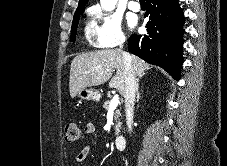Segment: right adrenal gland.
I'll return each instance as SVG.
<instances>
[{
	"label": "right adrenal gland",
	"instance_id": "obj_1",
	"mask_svg": "<svg viewBox=\"0 0 227 166\" xmlns=\"http://www.w3.org/2000/svg\"><path fill=\"white\" fill-rule=\"evenodd\" d=\"M140 99V93H139V79H137L136 83V101L138 102Z\"/></svg>",
	"mask_w": 227,
	"mask_h": 166
}]
</instances>
